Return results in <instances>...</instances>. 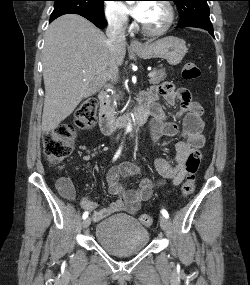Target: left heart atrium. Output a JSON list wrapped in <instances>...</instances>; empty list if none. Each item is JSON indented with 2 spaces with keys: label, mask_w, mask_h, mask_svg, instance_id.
Segmentation results:
<instances>
[{
  "label": "left heart atrium",
  "mask_w": 250,
  "mask_h": 285,
  "mask_svg": "<svg viewBox=\"0 0 250 285\" xmlns=\"http://www.w3.org/2000/svg\"><path fill=\"white\" fill-rule=\"evenodd\" d=\"M149 5L150 4L147 2L137 3L131 8V14L135 19H137L140 22H143L146 17Z\"/></svg>",
  "instance_id": "1"
}]
</instances>
